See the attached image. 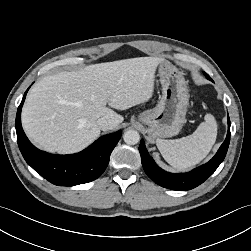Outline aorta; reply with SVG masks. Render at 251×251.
<instances>
[{
	"mask_svg": "<svg viewBox=\"0 0 251 251\" xmlns=\"http://www.w3.org/2000/svg\"><path fill=\"white\" fill-rule=\"evenodd\" d=\"M124 142L129 145H135L140 141V135L136 130H128L123 135Z\"/></svg>",
	"mask_w": 251,
	"mask_h": 251,
	"instance_id": "aorta-1",
	"label": "aorta"
}]
</instances>
